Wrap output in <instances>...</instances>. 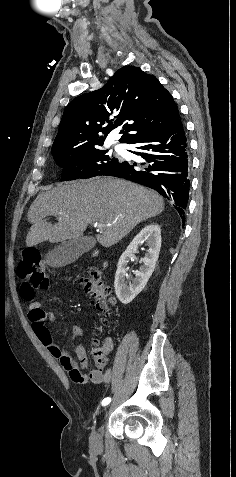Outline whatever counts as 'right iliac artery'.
<instances>
[{
	"mask_svg": "<svg viewBox=\"0 0 236 477\" xmlns=\"http://www.w3.org/2000/svg\"><path fill=\"white\" fill-rule=\"evenodd\" d=\"M111 402H112V401H111V398H110V397H106V398H104V399L102 400L101 404H102V406H106V405H108V404L111 403Z\"/></svg>",
	"mask_w": 236,
	"mask_h": 477,
	"instance_id": "obj_1",
	"label": "right iliac artery"
}]
</instances>
